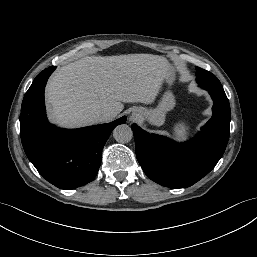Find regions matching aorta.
Instances as JSON below:
<instances>
[{
	"mask_svg": "<svg viewBox=\"0 0 257 257\" xmlns=\"http://www.w3.org/2000/svg\"><path fill=\"white\" fill-rule=\"evenodd\" d=\"M113 137L119 143H128L133 137V132L128 125L121 124L113 130Z\"/></svg>",
	"mask_w": 257,
	"mask_h": 257,
	"instance_id": "1",
	"label": "aorta"
}]
</instances>
